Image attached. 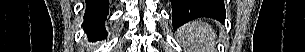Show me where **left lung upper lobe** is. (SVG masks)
Here are the masks:
<instances>
[{"mask_svg": "<svg viewBox=\"0 0 305 52\" xmlns=\"http://www.w3.org/2000/svg\"><path fill=\"white\" fill-rule=\"evenodd\" d=\"M198 17H206V13L200 9L185 10L184 12L179 13V15L176 17V23L182 25Z\"/></svg>", "mask_w": 305, "mask_h": 52, "instance_id": "5c2ea615", "label": "left lung upper lobe"}]
</instances>
